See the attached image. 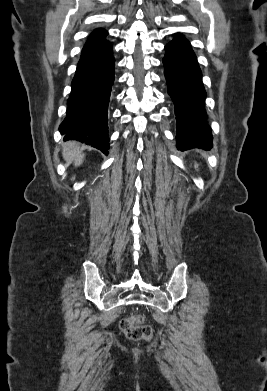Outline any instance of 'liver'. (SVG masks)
I'll return each mask as SVG.
<instances>
[{"mask_svg": "<svg viewBox=\"0 0 267 391\" xmlns=\"http://www.w3.org/2000/svg\"><path fill=\"white\" fill-rule=\"evenodd\" d=\"M63 158L68 162H74L75 166L82 164L84 155L79 151V144L74 141H70L63 144Z\"/></svg>", "mask_w": 267, "mask_h": 391, "instance_id": "6515ba94", "label": "liver"}]
</instances>
